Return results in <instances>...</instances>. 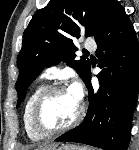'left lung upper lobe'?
<instances>
[{
  "label": "left lung upper lobe",
  "mask_w": 139,
  "mask_h": 150,
  "mask_svg": "<svg viewBox=\"0 0 139 150\" xmlns=\"http://www.w3.org/2000/svg\"><path fill=\"white\" fill-rule=\"evenodd\" d=\"M117 0H50L30 21L23 34L22 49L17 58L20 71L16 82L17 107L27 89L45 67L67 62L85 82L90 61L76 59L73 38L80 32L95 38L104 29Z\"/></svg>",
  "instance_id": "obj_1"
}]
</instances>
